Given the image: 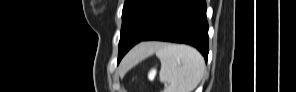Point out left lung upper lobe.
<instances>
[{"instance_id": "left-lung-upper-lobe-1", "label": "left lung upper lobe", "mask_w": 296, "mask_h": 92, "mask_svg": "<svg viewBox=\"0 0 296 92\" xmlns=\"http://www.w3.org/2000/svg\"><path fill=\"white\" fill-rule=\"evenodd\" d=\"M170 0H125L118 62L156 26Z\"/></svg>"}]
</instances>
